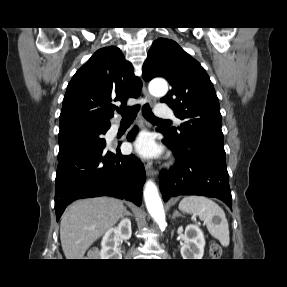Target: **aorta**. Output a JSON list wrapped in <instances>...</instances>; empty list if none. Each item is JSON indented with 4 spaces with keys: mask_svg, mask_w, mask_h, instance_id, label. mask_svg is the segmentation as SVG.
<instances>
[{
    "mask_svg": "<svg viewBox=\"0 0 287 287\" xmlns=\"http://www.w3.org/2000/svg\"><path fill=\"white\" fill-rule=\"evenodd\" d=\"M149 91L156 96H164L168 91V85L164 80L153 81L149 85ZM144 200L146 208L154 221L161 229L166 227L165 211L155 183L147 181L144 188Z\"/></svg>",
    "mask_w": 287,
    "mask_h": 287,
    "instance_id": "aorta-1",
    "label": "aorta"
}]
</instances>
